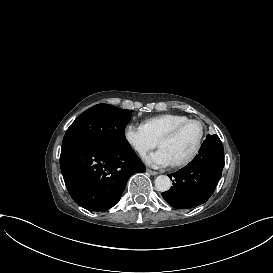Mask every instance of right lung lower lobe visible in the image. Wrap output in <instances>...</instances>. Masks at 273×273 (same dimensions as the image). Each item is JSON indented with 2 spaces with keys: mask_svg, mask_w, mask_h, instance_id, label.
Listing matches in <instances>:
<instances>
[{
  "mask_svg": "<svg viewBox=\"0 0 273 273\" xmlns=\"http://www.w3.org/2000/svg\"><path fill=\"white\" fill-rule=\"evenodd\" d=\"M60 167L73 200L91 211L110 209L120 200L130 176L146 170L132 148L86 142L62 147Z\"/></svg>",
  "mask_w": 273,
  "mask_h": 273,
  "instance_id": "right-lung-lower-lobe-1",
  "label": "right lung lower lobe"
}]
</instances>
